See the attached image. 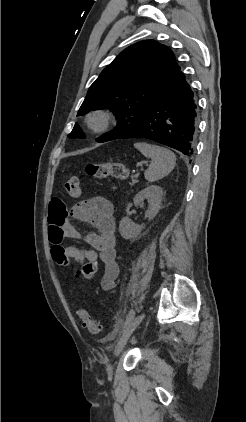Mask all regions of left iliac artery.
<instances>
[{
	"label": "left iliac artery",
	"instance_id": "44dca946",
	"mask_svg": "<svg viewBox=\"0 0 246 422\" xmlns=\"http://www.w3.org/2000/svg\"><path fill=\"white\" fill-rule=\"evenodd\" d=\"M134 316H135V311L132 309V310H130V312L127 315V318H126V321H125V324H124V329L130 325V323L134 319Z\"/></svg>",
	"mask_w": 246,
	"mask_h": 422
}]
</instances>
